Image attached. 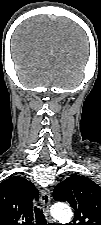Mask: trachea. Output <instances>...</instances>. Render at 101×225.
Segmentation results:
<instances>
[{"label":"trachea","mask_w":101,"mask_h":225,"mask_svg":"<svg viewBox=\"0 0 101 225\" xmlns=\"http://www.w3.org/2000/svg\"><path fill=\"white\" fill-rule=\"evenodd\" d=\"M35 217H36V225H47L45 216L42 210L38 207H35Z\"/></svg>","instance_id":"1"}]
</instances>
